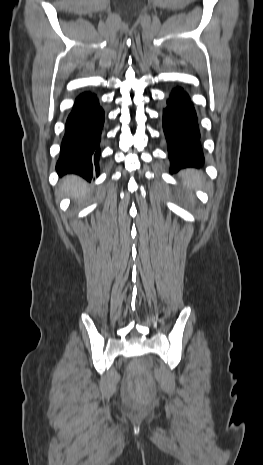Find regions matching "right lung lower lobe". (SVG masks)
<instances>
[{
    "mask_svg": "<svg viewBox=\"0 0 263 465\" xmlns=\"http://www.w3.org/2000/svg\"><path fill=\"white\" fill-rule=\"evenodd\" d=\"M104 124V110L96 95L81 94L66 122L60 158L56 165L59 174L74 173L91 181L100 156L99 143Z\"/></svg>",
    "mask_w": 263,
    "mask_h": 465,
    "instance_id": "98d812e1",
    "label": "right lung lower lobe"
}]
</instances>
